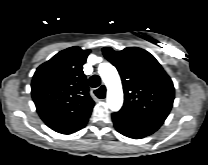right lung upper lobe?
Wrapping results in <instances>:
<instances>
[{"label":"right lung upper lobe","mask_w":208,"mask_h":165,"mask_svg":"<svg viewBox=\"0 0 208 165\" xmlns=\"http://www.w3.org/2000/svg\"><path fill=\"white\" fill-rule=\"evenodd\" d=\"M90 50L70 47L40 65L32 80L31 94L44 123L61 134L86 126L94 101L83 72Z\"/></svg>","instance_id":"obj_1"}]
</instances>
